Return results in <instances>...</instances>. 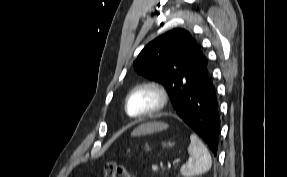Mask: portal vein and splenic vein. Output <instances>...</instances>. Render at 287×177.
Here are the masks:
<instances>
[{"label": "portal vein and splenic vein", "instance_id": "obj_1", "mask_svg": "<svg viewBox=\"0 0 287 177\" xmlns=\"http://www.w3.org/2000/svg\"><path fill=\"white\" fill-rule=\"evenodd\" d=\"M171 168H172V164H171V163H168L167 169L170 170Z\"/></svg>", "mask_w": 287, "mask_h": 177}]
</instances>
